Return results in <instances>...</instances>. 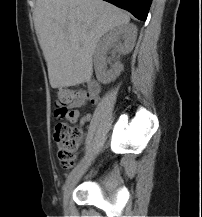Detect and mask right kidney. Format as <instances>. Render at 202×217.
Listing matches in <instances>:
<instances>
[{
    "instance_id": "1",
    "label": "right kidney",
    "mask_w": 202,
    "mask_h": 217,
    "mask_svg": "<svg viewBox=\"0 0 202 217\" xmlns=\"http://www.w3.org/2000/svg\"><path fill=\"white\" fill-rule=\"evenodd\" d=\"M137 38V28L133 24H125L115 27L109 31L99 41L95 56L94 66L96 77L102 84H108L114 81L123 70V65L115 56L118 54H128L133 50ZM113 48L112 60L114 63L107 69L106 53Z\"/></svg>"
}]
</instances>
